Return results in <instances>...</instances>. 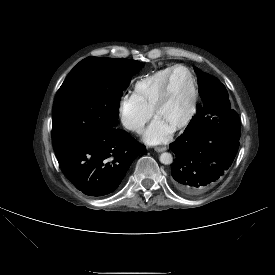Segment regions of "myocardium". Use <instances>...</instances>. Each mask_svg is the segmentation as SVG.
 I'll return each mask as SVG.
<instances>
[{
    "label": "myocardium",
    "instance_id": "myocardium-1",
    "mask_svg": "<svg viewBox=\"0 0 275 275\" xmlns=\"http://www.w3.org/2000/svg\"><path fill=\"white\" fill-rule=\"evenodd\" d=\"M178 69L185 70L189 76L192 98H191L189 111H188L186 117L184 118L183 121H181L179 124H177L176 126L173 127L174 131H179V130L186 128L192 121V119L195 115V112H196V107H197V102H198V91H197V86H196V81H195L194 75L188 67H186L184 65H180V64L172 67V69L170 70V72L163 84V87L157 97L156 103L153 108V113L155 116H157L160 109L162 108V106L164 105V103L168 97L172 76H173L174 72Z\"/></svg>",
    "mask_w": 275,
    "mask_h": 275
}]
</instances>
